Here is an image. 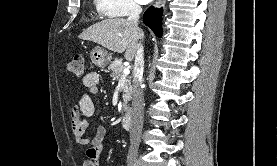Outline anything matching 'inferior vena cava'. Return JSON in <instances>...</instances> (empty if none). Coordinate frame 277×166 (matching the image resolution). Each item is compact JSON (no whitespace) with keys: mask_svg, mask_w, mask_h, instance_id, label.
<instances>
[{"mask_svg":"<svg viewBox=\"0 0 277 166\" xmlns=\"http://www.w3.org/2000/svg\"><path fill=\"white\" fill-rule=\"evenodd\" d=\"M141 12L142 8L137 4H133L127 21L137 25ZM143 70V47L140 46L135 56L133 70L134 79L132 86V124L130 130V147L128 152V157L130 158H135L138 154L140 137L143 128L144 98L141 87L143 81Z\"/></svg>","mask_w":277,"mask_h":166,"instance_id":"602c4592","label":"inferior vena cava"}]
</instances>
